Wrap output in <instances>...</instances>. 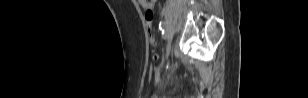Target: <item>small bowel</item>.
<instances>
[{
    "label": "small bowel",
    "mask_w": 308,
    "mask_h": 98,
    "mask_svg": "<svg viewBox=\"0 0 308 98\" xmlns=\"http://www.w3.org/2000/svg\"><path fill=\"white\" fill-rule=\"evenodd\" d=\"M139 5L145 10H152L155 7V0L147 1V0H138Z\"/></svg>",
    "instance_id": "c3829d8e"
}]
</instances>
